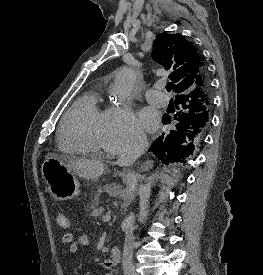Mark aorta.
<instances>
[{
	"instance_id": "762f6f07",
	"label": "aorta",
	"mask_w": 263,
	"mask_h": 275,
	"mask_svg": "<svg viewBox=\"0 0 263 275\" xmlns=\"http://www.w3.org/2000/svg\"><path fill=\"white\" fill-rule=\"evenodd\" d=\"M137 73L130 67H122L116 73L115 80L110 88V95L115 102L126 100L136 83Z\"/></svg>"
}]
</instances>
